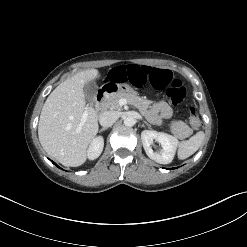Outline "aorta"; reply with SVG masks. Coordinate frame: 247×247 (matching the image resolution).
I'll return each mask as SVG.
<instances>
[{"mask_svg":"<svg viewBox=\"0 0 247 247\" xmlns=\"http://www.w3.org/2000/svg\"><path fill=\"white\" fill-rule=\"evenodd\" d=\"M124 125L127 127H132L135 125V119L132 116H127L124 118Z\"/></svg>","mask_w":247,"mask_h":247,"instance_id":"obj_1","label":"aorta"}]
</instances>
